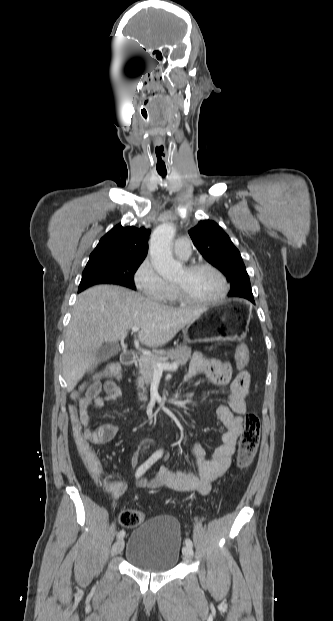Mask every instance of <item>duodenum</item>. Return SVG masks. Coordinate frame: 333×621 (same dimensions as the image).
<instances>
[{
    "mask_svg": "<svg viewBox=\"0 0 333 621\" xmlns=\"http://www.w3.org/2000/svg\"><path fill=\"white\" fill-rule=\"evenodd\" d=\"M137 355L134 351H127L121 355V362L125 366H132L136 362Z\"/></svg>",
    "mask_w": 333,
    "mask_h": 621,
    "instance_id": "1",
    "label": "duodenum"
}]
</instances>
